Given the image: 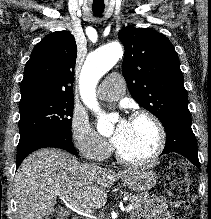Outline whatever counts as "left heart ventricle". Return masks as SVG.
<instances>
[{
  "label": "left heart ventricle",
  "mask_w": 211,
  "mask_h": 219,
  "mask_svg": "<svg viewBox=\"0 0 211 219\" xmlns=\"http://www.w3.org/2000/svg\"><path fill=\"white\" fill-rule=\"evenodd\" d=\"M156 141V130L149 120H131L128 134L117 149L127 158L139 159L154 150Z\"/></svg>",
  "instance_id": "b2bd125f"
}]
</instances>
